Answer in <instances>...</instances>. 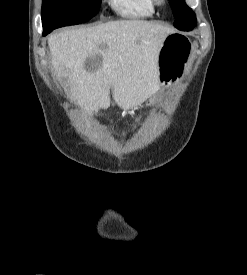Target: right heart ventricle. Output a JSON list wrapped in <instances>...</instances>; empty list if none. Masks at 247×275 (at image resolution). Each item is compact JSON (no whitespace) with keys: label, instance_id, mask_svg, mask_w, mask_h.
<instances>
[{"label":"right heart ventricle","instance_id":"e07e8e85","mask_svg":"<svg viewBox=\"0 0 247 275\" xmlns=\"http://www.w3.org/2000/svg\"><path fill=\"white\" fill-rule=\"evenodd\" d=\"M112 9L125 18L151 17L155 13L153 0H107Z\"/></svg>","mask_w":247,"mask_h":275}]
</instances>
